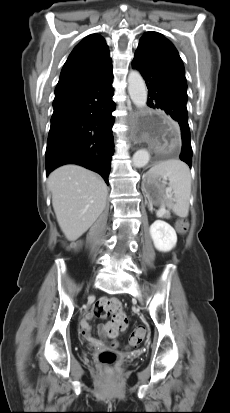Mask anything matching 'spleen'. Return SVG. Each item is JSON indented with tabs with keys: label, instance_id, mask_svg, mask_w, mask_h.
<instances>
[{
	"label": "spleen",
	"instance_id": "3e777b00",
	"mask_svg": "<svg viewBox=\"0 0 230 413\" xmlns=\"http://www.w3.org/2000/svg\"><path fill=\"white\" fill-rule=\"evenodd\" d=\"M151 177L162 179L168 194L167 207L180 218H186L189 213V200L191 196V174L189 167L178 159L160 162L153 166L147 173ZM172 197V198H171Z\"/></svg>",
	"mask_w": 230,
	"mask_h": 413
}]
</instances>
